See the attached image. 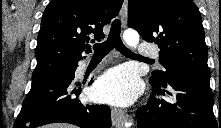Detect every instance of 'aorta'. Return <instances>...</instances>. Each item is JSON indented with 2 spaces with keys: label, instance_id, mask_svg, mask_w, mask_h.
Masks as SVG:
<instances>
[{
  "label": "aorta",
  "instance_id": "aorta-1",
  "mask_svg": "<svg viewBox=\"0 0 221 128\" xmlns=\"http://www.w3.org/2000/svg\"><path fill=\"white\" fill-rule=\"evenodd\" d=\"M123 39L130 47L136 48L139 43V34L135 30L128 29L123 33Z\"/></svg>",
  "mask_w": 221,
  "mask_h": 128
}]
</instances>
